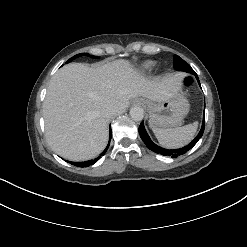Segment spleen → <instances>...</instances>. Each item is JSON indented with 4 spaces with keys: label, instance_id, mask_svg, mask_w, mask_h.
Returning a JSON list of instances; mask_svg holds the SVG:
<instances>
[{
    "label": "spleen",
    "instance_id": "3e777b00",
    "mask_svg": "<svg viewBox=\"0 0 247 247\" xmlns=\"http://www.w3.org/2000/svg\"><path fill=\"white\" fill-rule=\"evenodd\" d=\"M198 122L173 129L153 128L158 142L166 148H180L187 145L195 136Z\"/></svg>",
    "mask_w": 247,
    "mask_h": 247
}]
</instances>
